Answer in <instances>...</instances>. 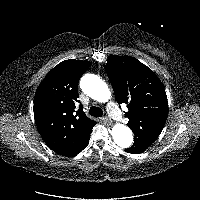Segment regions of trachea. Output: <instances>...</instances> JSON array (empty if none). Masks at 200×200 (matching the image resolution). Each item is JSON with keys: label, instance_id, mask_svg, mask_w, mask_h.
I'll return each instance as SVG.
<instances>
[{"label": "trachea", "instance_id": "1", "mask_svg": "<svg viewBox=\"0 0 200 200\" xmlns=\"http://www.w3.org/2000/svg\"><path fill=\"white\" fill-rule=\"evenodd\" d=\"M89 114L93 117H102L103 116V111L101 108L92 106L89 110Z\"/></svg>", "mask_w": 200, "mask_h": 200}]
</instances>
